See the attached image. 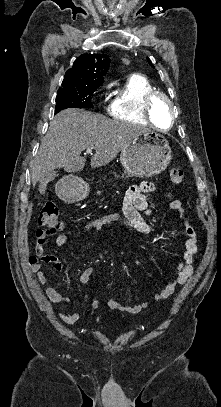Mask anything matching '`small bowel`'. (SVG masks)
<instances>
[{"label": "small bowel", "instance_id": "c3829d8e", "mask_svg": "<svg viewBox=\"0 0 221 407\" xmlns=\"http://www.w3.org/2000/svg\"><path fill=\"white\" fill-rule=\"evenodd\" d=\"M157 191V187L153 183L143 182L139 185L129 188L123 200L122 213L123 216L116 214L108 215L106 217L89 221L83 228L85 234H90L101 230L108 225H115L131 230L137 234H149L151 227L143 218L142 213L150 214L149 201L152 195ZM170 207L174 210L181 220V225L186 240L183 252L176 265V274L174 278L168 282L164 288L154 294L153 300L159 301L169 297L174 293L176 288L184 283L192 276L194 270V258L198 252V236L186 218V210L180 200H173ZM68 240L66 234H60L56 239L58 247L63 246ZM48 239L40 238L37 234L36 243L33 248L32 254L29 256V265L33 273L36 274L37 283L41 286L47 299L54 304H67L70 298L56 288L48 285V279L43 272L42 267L44 264H51L53 269L57 272L63 270V264L54 254L45 253V245ZM94 280V269L92 267L86 268L79 277V281L83 284H91ZM89 307H98L101 303L92 294L88 295ZM151 301H145L139 304H125L118 299L111 298L107 301V306L119 312L136 314L146 309ZM89 310L86 308L82 311H74L71 313L60 314V319L66 324H74L82 319L84 314ZM163 328L167 326L166 323L161 325Z\"/></svg>", "mask_w": 221, "mask_h": 407}]
</instances>
